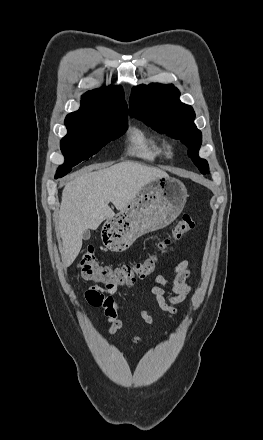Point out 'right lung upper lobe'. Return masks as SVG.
<instances>
[{
    "label": "right lung upper lobe",
    "mask_w": 263,
    "mask_h": 440,
    "mask_svg": "<svg viewBox=\"0 0 263 440\" xmlns=\"http://www.w3.org/2000/svg\"><path fill=\"white\" fill-rule=\"evenodd\" d=\"M128 116V107L121 86H108L86 92L78 111L70 113L65 125L78 126L95 117Z\"/></svg>",
    "instance_id": "obj_1"
}]
</instances>
